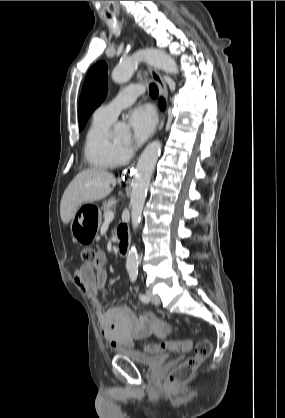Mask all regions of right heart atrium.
Listing matches in <instances>:
<instances>
[{
	"mask_svg": "<svg viewBox=\"0 0 285 418\" xmlns=\"http://www.w3.org/2000/svg\"><path fill=\"white\" fill-rule=\"evenodd\" d=\"M128 151H129V149H128L127 147H125V148H123V149H122V153H123V154L128 153Z\"/></svg>",
	"mask_w": 285,
	"mask_h": 418,
	"instance_id": "1",
	"label": "right heart atrium"
}]
</instances>
